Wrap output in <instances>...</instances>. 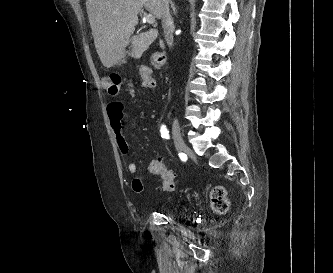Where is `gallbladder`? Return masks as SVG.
Returning <instances> with one entry per match:
<instances>
[{"instance_id":"obj_1","label":"gallbladder","mask_w":333,"mask_h":273,"mask_svg":"<svg viewBox=\"0 0 333 273\" xmlns=\"http://www.w3.org/2000/svg\"><path fill=\"white\" fill-rule=\"evenodd\" d=\"M132 52L129 54L134 58H140L143 52L149 47V41L146 40L145 34H139L131 39ZM126 63L123 58L118 64Z\"/></svg>"}]
</instances>
